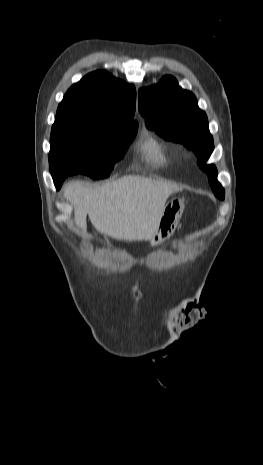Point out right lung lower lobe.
I'll return each instance as SVG.
<instances>
[{"instance_id": "obj_1", "label": "right lung lower lobe", "mask_w": 263, "mask_h": 465, "mask_svg": "<svg viewBox=\"0 0 263 465\" xmlns=\"http://www.w3.org/2000/svg\"><path fill=\"white\" fill-rule=\"evenodd\" d=\"M53 180H54L56 188L59 189L61 187V185H62V182H63L64 178H62V177H53Z\"/></svg>"}]
</instances>
